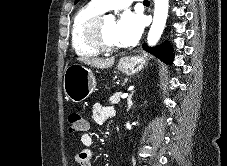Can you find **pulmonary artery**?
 <instances>
[{
    "mask_svg": "<svg viewBox=\"0 0 227 166\" xmlns=\"http://www.w3.org/2000/svg\"><path fill=\"white\" fill-rule=\"evenodd\" d=\"M103 10L122 9L130 6L135 0H93Z\"/></svg>",
    "mask_w": 227,
    "mask_h": 166,
    "instance_id": "pulmonary-artery-1",
    "label": "pulmonary artery"
}]
</instances>
